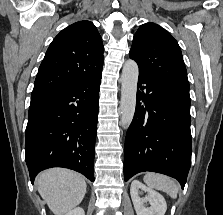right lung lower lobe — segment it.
I'll list each match as a JSON object with an SVG mask.
<instances>
[{"instance_id": "right-lung-lower-lobe-1", "label": "right lung lower lobe", "mask_w": 223, "mask_h": 215, "mask_svg": "<svg viewBox=\"0 0 223 215\" xmlns=\"http://www.w3.org/2000/svg\"><path fill=\"white\" fill-rule=\"evenodd\" d=\"M101 76L102 71L65 90L31 99L25 160L32 183L50 167L69 168L94 181Z\"/></svg>"}]
</instances>
